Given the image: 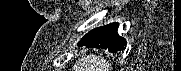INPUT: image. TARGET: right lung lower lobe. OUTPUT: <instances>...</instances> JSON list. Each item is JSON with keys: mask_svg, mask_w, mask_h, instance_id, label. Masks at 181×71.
<instances>
[{"mask_svg": "<svg viewBox=\"0 0 181 71\" xmlns=\"http://www.w3.org/2000/svg\"><path fill=\"white\" fill-rule=\"evenodd\" d=\"M118 23H112L90 31L78 43V46L108 49L112 53L124 50L126 41L117 33Z\"/></svg>", "mask_w": 181, "mask_h": 71, "instance_id": "98d812e1", "label": "right lung lower lobe"}]
</instances>
